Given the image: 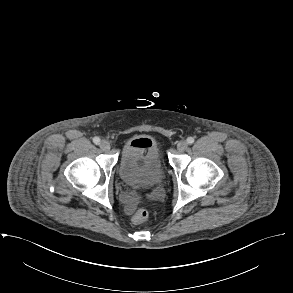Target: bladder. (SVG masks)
Here are the masks:
<instances>
[{"instance_id":"obj_1","label":"bladder","mask_w":293,"mask_h":293,"mask_svg":"<svg viewBox=\"0 0 293 293\" xmlns=\"http://www.w3.org/2000/svg\"><path fill=\"white\" fill-rule=\"evenodd\" d=\"M119 175L129 185H136L140 181L160 182L164 176V165L158 145L151 142L126 144L121 154Z\"/></svg>"}]
</instances>
